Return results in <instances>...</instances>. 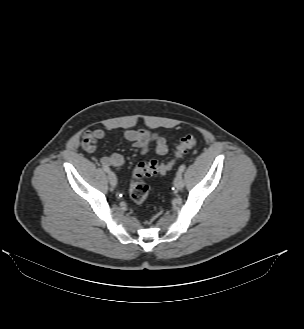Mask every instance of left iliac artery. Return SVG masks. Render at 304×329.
Here are the masks:
<instances>
[{"mask_svg": "<svg viewBox=\"0 0 304 329\" xmlns=\"http://www.w3.org/2000/svg\"><path fill=\"white\" fill-rule=\"evenodd\" d=\"M186 169V165L185 164H182L180 167H179V172H184V170Z\"/></svg>", "mask_w": 304, "mask_h": 329, "instance_id": "obj_1", "label": "left iliac artery"}]
</instances>
